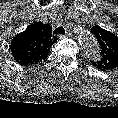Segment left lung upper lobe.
Segmentation results:
<instances>
[{
  "label": "left lung upper lobe",
  "mask_w": 118,
  "mask_h": 118,
  "mask_svg": "<svg viewBox=\"0 0 118 118\" xmlns=\"http://www.w3.org/2000/svg\"><path fill=\"white\" fill-rule=\"evenodd\" d=\"M91 33L95 35L101 46V58L92 61V64L101 70L118 67V37L97 25L91 28Z\"/></svg>",
  "instance_id": "left-lung-upper-lobe-1"
}]
</instances>
